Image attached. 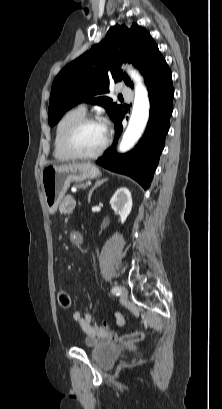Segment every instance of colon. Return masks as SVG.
Returning a JSON list of instances; mask_svg holds the SVG:
<instances>
[{
  "label": "colon",
  "mask_w": 222,
  "mask_h": 409,
  "mask_svg": "<svg viewBox=\"0 0 222 409\" xmlns=\"http://www.w3.org/2000/svg\"><path fill=\"white\" fill-rule=\"evenodd\" d=\"M57 300L60 307L67 309L71 306V297L67 291L61 290L57 293ZM111 336L114 341L125 344L140 342L144 340L145 334L143 331H136L124 336H118L114 331H111Z\"/></svg>",
  "instance_id": "1"
}]
</instances>
